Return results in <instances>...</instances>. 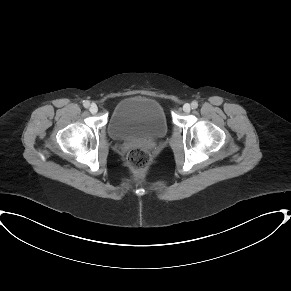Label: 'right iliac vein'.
Returning a JSON list of instances; mask_svg holds the SVG:
<instances>
[{
    "mask_svg": "<svg viewBox=\"0 0 291 291\" xmlns=\"http://www.w3.org/2000/svg\"><path fill=\"white\" fill-rule=\"evenodd\" d=\"M89 111L92 113V114H95L97 113L98 111V107L96 104H91L90 108H89Z\"/></svg>",
    "mask_w": 291,
    "mask_h": 291,
    "instance_id": "right-iliac-vein-1",
    "label": "right iliac vein"
}]
</instances>
